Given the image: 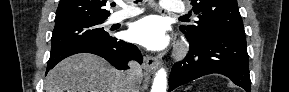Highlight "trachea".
I'll use <instances>...</instances> for the list:
<instances>
[{"label":"trachea","mask_w":289,"mask_h":92,"mask_svg":"<svg viewBox=\"0 0 289 92\" xmlns=\"http://www.w3.org/2000/svg\"><path fill=\"white\" fill-rule=\"evenodd\" d=\"M139 1H141V0H139ZM113 6H115V5H113ZM181 18H187L186 16H182Z\"/></svg>","instance_id":"3493384b"}]
</instances>
